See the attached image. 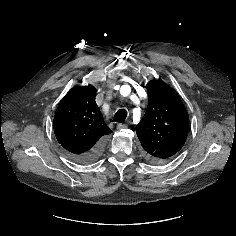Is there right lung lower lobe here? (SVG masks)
I'll return each mask as SVG.
<instances>
[{
    "instance_id": "obj_1",
    "label": "right lung lower lobe",
    "mask_w": 236,
    "mask_h": 236,
    "mask_svg": "<svg viewBox=\"0 0 236 236\" xmlns=\"http://www.w3.org/2000/svg\"><path fill=\"white\" fill-rule=\"evenodd\" d=\"M105 142L101 139L93 148L82 154H70L71 158L81 164H89L96 161L104 150Z\"/></svg>"
}]
</instances>
